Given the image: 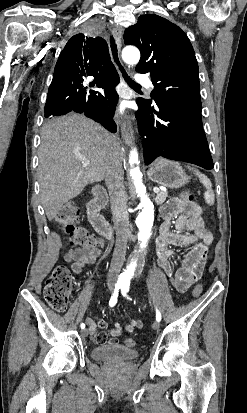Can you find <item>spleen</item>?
Wrapping results in <instances>:
<instances>
[{
	"instance_id": "obj_1",
	"label": "spleen",
	"mask_w": 247,
	"mask_h": 413,
	"mask_svg": "<svg viewBox=\"0 0 247 413\" xmlns=\"http://www.w3.org/2000/svg\"><path fill=\"white\" fill-rule=\"evenodd\" d=\"M190 168V166H188ZM195 174H197L200 182L206 186V190L204 192V200L207 202V204H214L215 202V194L214 190L212 188V182L206 174H202V172H199V170H194Z\"/></svg>"
}]
</instances>
